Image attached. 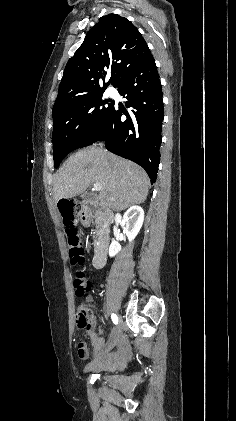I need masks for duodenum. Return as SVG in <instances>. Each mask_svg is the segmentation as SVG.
Wrapping results in <instances>:
<instances>
[{
	"instance_id": "duodenum-1",
	"label": "duodenum",
	"mask_w": 236,
	"mask_h": 421,
	"mask_svg": "<svg viewBox=\"0 0 236 421\" xmlns=\"http://www.w3.org/2000/svg\"><path fill=\"white\" fill-rule=\"evenodd\" d=\"M73 209L77 213L81 223L84 226H88L91 220L98 216L104 224L108 225L113 222L114 216L113 214L105 209H101L98 203L94 200L90 199H82L74 202ZM109 248V237L107 235H103L94 250V255L92 258V264L95 268H102L107 259ZM100 340H98L99 342ZM117 344L119 346V350L115 356H111L110 354H106L103 357H100L95 363L94 368L96 369H112L120 367L129 357V347L128 345L118 340Z\"/></svg>"
}]
</instances>
